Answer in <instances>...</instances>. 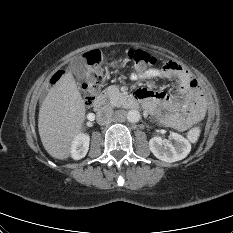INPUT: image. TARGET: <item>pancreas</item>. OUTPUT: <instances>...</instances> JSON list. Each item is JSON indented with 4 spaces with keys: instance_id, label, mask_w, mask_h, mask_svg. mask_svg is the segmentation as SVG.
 <instances>
[{
    "instance_id": "1",
    "label": "pancreas",
    "mask_w": 233,
    "mask_h": 233,
    "mask_svg": "<svg viewBox=\"0 0 233 233\" xmlns=\"http://www.w3.org/2000/svg\"><path fill=\"white\" fill-rule=\"evenodd\" d=\"M106 96L109 100V103L113 106H127L128 97L124 96L116 86H109L106 89Z\"/></svg>"
}]
</instances>
